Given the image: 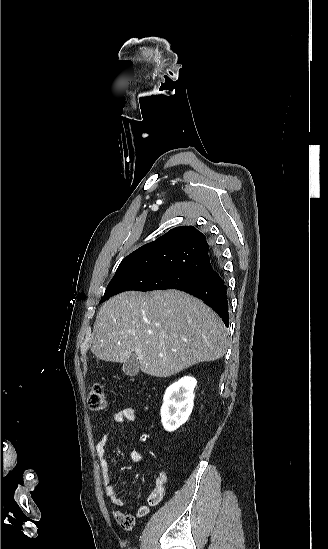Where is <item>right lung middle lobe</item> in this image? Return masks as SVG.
Masks as SVG:
<instances>
[{
	"instance_id": "1",
	"label": "right lung middle lobe",
	"mask_w": 328,
	"mask_h": 549,
	"mask_svg": "<svg viewBox=\"0 0 328 549\" xmlns=\"http://www.w3.org/2000/svg\"><path fill=\"white\" fill-rule=\"evenodd\" d=\"M206 281L207 279L204 276L186 270L160 267L129 268L116 271L115 276L106 288L101 302L127 290H182Z\"/></svg>"
}]
</instances>
